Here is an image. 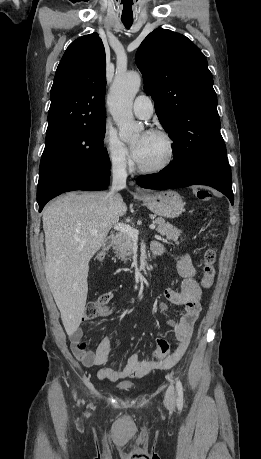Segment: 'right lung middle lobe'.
Returning <instances> with one entry per match:
<instances>
[{
  "mask_svg": "<svg viewBox=\"0 0 261 459\" xmlns=\"http://www.w3.org/2000/svg\"><path fill=\"white\" fill-rule=\"evenodd\" d=\"M105 130L106 120H102L89 126L46 133L37 193L55 179L78 170H109V156L103 148Z\"/></svg>",
  "mask_w": 261,
  "mask_h": 459,
  "instance_id": "obj_1",
  "label": "right lung middle lobe"
}]
</instances>
